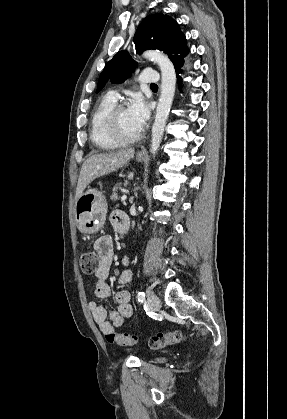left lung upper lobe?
<instances>
[{
  "mask_svg": "<svg viewBox=\"0 0 287 419\" xmlns=\"http://www.w3.org/2000/svg\"><path fill=\"white\" fill-rule=\"evenodd\" d=\"M134 44L137 53L146 49L164 51L173 62L175 70L183 66V58L189 52L186 37L179 24L170 16L161 13L153 14L141 22L134 36ZM136 66L128 52H118L102 71L96 92L98 93L109 80L115 83L123 82Z\"/></svg>",
  "mask_w": 287,
  "mask_h": 419,
  "instance_id": "5c2ea615",
  "label": "left lung upper lobe"
}]
</instances>
